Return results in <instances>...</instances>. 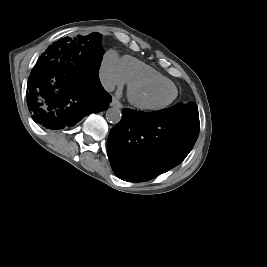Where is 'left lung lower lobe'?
<instances>
[{"instance_id": "left-lung-lower-lobe-1", "label": "left lung lower lobe", "mask_w": 267, "mask_h": 267, "mask_svg": "<svg viewBox=\"0 0 267 267\" xmlns=\"http://www.w3.org/2000/svg\"><path fill=\"white\" fill-rule=\"evenodd\" d=\"M199 128L198 109L188 106L149 113L124 109L107 141L112 169L125 181L151 180L185 159Z\"/></svg>"}]
</instances>
